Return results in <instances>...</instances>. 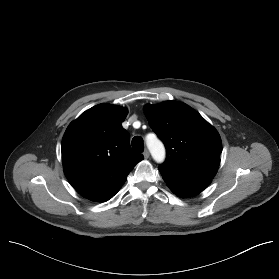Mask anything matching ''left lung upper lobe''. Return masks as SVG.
Listing matches in <instances>:
<instances>
[{
  "instance_id": "5c2ea615",
  "label": "left lung upper lobe",
  "mask_w": 279,
  "mask_h": 279,
  "mask_svg": "<svg viewBox=\"0 0 279 279\" xmlns=\"http://www.w3.org/2000/svg\"><path fill=\"white\" fill-rule=\"evenodd\" d=\"M144 111L150 127L166 147V161L159 167L190 178L212 180L222 152L216 129L181 102L147 104Z\"/></svg>"
}]
</instances>
